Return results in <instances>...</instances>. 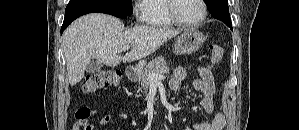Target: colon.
<instances>
[{"instance_id": "5ec220e1", "label": "colon", "mask_w": 299, "mask_h": 130, "mask_svg": "<svg viewBox=\"0 0 299 130\" xmlns=\"http://www.w3.org/2000/svg\"><path fill=\"white\" fill-rule=\"evenodd\" d=\"M224 56V49L219 45L211 46V60L210 65L214 66L220 63ZM121 80V73L117 70L106 69L100 70L96 73L89 75L83 85V91L87 94H91L104 86H115ZM91 115L89 108H80L76 112L77 128L78 130H92V125L88 122V118Z\"/></svg>"}]
</instances>
